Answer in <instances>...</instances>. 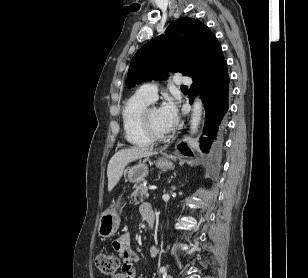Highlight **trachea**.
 <instances>
[{
    "mask_svg": "<svg viewBox=\"0 0 308 278\" xmlns=\"http://www.w3.org/2000/svg\"><path fill=\"white\" fill-rule=\"evenodd\" d=\"M182 89H187V87H186V86H183Z\"/></svg>",
    "mask_w": 308,
    "mask_h": 278,
    "instance_id": "trachea-1",
    "label": "trachea"
}]
</instances>
